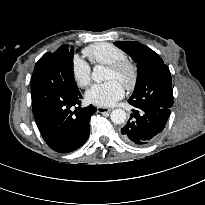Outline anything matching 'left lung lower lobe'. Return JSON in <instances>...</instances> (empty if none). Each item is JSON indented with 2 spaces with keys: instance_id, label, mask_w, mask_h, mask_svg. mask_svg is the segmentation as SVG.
Returning <instances> with one entry per match:
<instances>
[{
  "instance_id": "left-lung-lower-lobe-1",
  "label": "left lung lower lobe",
  "mask_w": 205,
  "mask_h": 205,
  "mask_svg": "<svg viewBox=\"0 0 205 205\" xmlns=\"http://www.w3.org/2000/svg\"><path fill=\"white\" fill-rule=\"evenodd\" d=\"M127 124L121 129L122 139L132 145L142 146L153 142L164 129L170 108L137 106Z\"/></svg>"
}]
</instances>
